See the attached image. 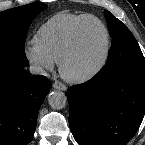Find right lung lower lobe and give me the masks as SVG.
<instances>
[{
  "instance_id": "1",
  "label": "right lung lower lobe",
  "mask_w": 145,
  "mask_h": 145,
  "mask_svg": "<svg viewBox=\"0 0 145 145\" xmlns=\"http://www.w3.org/2000/svg\"><path fill=\"white\" fill-rule=\"evenodd\" d=\"M50 91L44 76L25 68L0 73V145H27L36 129L38 111Z\"/></svg>"
}]
</instances>
